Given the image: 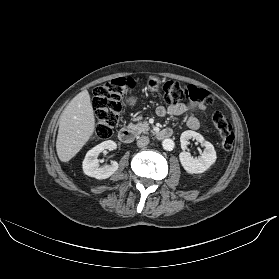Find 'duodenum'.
<instances>
[{
    "label": "duodenum",
    "mask_w": 279,
    "mask_h": 279,
    "mask_svg": "<svg viewBox=\"0 0 279 279\" xmlns=\"http://www.w3.org/2000/svg\"><path fill=\"white\" fill-rule=\"evenodd\" d=\"M173 136V131L170 128L162 129L155 134L157 140H165ZM118 137L123 143H131L135 139V132L133 129L123 127L118 132Z\"/></svg>",
    "instance_id": "duodenum-1"
}]
</instances>
